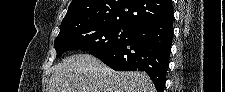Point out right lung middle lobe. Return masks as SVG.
<instances>
[{"label":"right lung middle lobe","mask_w":225,"mask_h":92,"mask_svg":"<svg viewBox=\"0 0 225 92\" xmlns=\"http://www.w3.org/2000/svg\"><path fill=\"white\" fill-rule=\"evenodd\" d=\"M134 28L118 22H81L60 30L54 47L57 58L65 51L81 50L90 54L125 42Z\"/></svg>","instance_id":"obj_1"}]
</instances>
